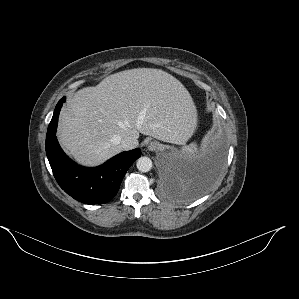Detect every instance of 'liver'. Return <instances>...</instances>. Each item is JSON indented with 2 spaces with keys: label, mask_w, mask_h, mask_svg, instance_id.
Returning a JSON list of instances; mask_svg holds the SVG:
<instances>
[{
  "label": "liver",
  "mask_w": 299,
  "mask_h": 299,
  "mask_svg": "<svg viewBox=\"0 0 299 299\" xmlns=\"http://www.w3.org/2000/svg\"><path fill=\"white\" fill-rule=\"evenodd\" d=\"M197 125L184 85L160 69L136 68L77 91L60 115L57 136L74 159L98 165L122 151L120 140L139 134L182 144Z\"/></svg>",
  "instance_id": "1"
}]
</instances>
